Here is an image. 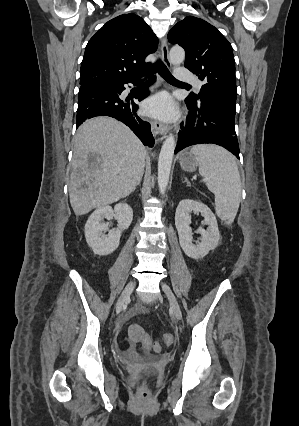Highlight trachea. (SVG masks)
I'll return each mask as SVG.
<instances>
[{"instance_id": "obj_1", "label": "trachea", "mask_w": 299, "mask_h": 426, "mask_svg": "<svg viewBox=\"0 0 299 426\" xmlns=\"http://www.w3.org/2000/svg\"><path fill=\"white\" fill-rule=\"evenodd\" d=\"M157 71L167 82L182 83L172 76V74L170 73L168 68L165 66V64L161 62L160 60L151 66L149 73H154Z\"/></svg>"}]
</instances>
